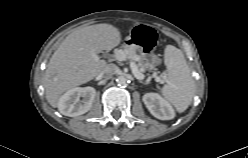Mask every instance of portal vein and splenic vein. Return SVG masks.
<instances>
[{"label": "portal vein and splenic vein", "instance_id": "18ae733b", "mask_svg": "<svg viewBox=\"0 0 248 158\" xmlns=\"http://www.w3.org/2000/svg\"><path fill=\"white\" fill-rule=\"evenodd\" d=\"M114 58L118 61H124L126 59V53L123 50H116L114 52ZM129 66L132 70L133 75L137 79H144V74H142L139 71L137 65L133 61H130ZM155 81L156 82H162V79L160 77H155Z\"/></svg>", "mask_w": 248, "mask_h": 158}]
</instances>
